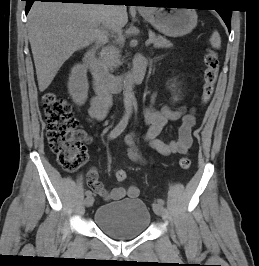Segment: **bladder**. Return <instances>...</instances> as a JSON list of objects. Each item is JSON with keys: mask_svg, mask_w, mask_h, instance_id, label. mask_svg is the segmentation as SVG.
Here are the masks:
<instances>
[{"mask_svg": "<svg viewBox=\"0 0 259 266\" xmlns=\"http://www.w3.org/2000/svg\"><path fill=\"white\" fill-rule=\"evenodd\" d=\"M94 223L115 239L127 240L141 235L150 224L147 205L140 199H124L99 206L93 216Z\"/></svg>", "mask_w": 259, "mask_h": 266, "instance_id": "1", "label": "bladder"}]
</instances>
